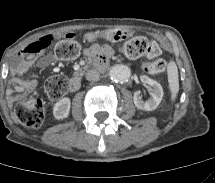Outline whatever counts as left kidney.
<instances>
[{
  "label": "left kidney",
  "instance_id": "1",
  "mask_svg": "<svg viewBox=\"0 0 215 183\" xmlns=\"http://www.w3.org/2000/svg\"><path fill=\"white\" fill-rule=\"evenodd\" d=\"M140 80L145 85H150L152 87L151 97L144 101L140 92L134 93V104L138 109H142L145 111H151L157 108L163 98V88L162 86L155 80L149 78L146 75L140 76Z\"/></svg>",
  "mask_w": 215,
  "mask_h": 183
}]
</instances>
